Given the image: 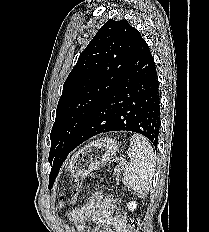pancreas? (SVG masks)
Masks as SVG:
<instances>
[{
	"mask_svg": "<svg viewBox=\"0 0 209 232\" xmlns=\"http://www.w3.org/2000/svg\"><path fill=\"white\" fill-rule=\"evenodd\" d=\"M120 171H121L120 166H118L117 168H115L114 175L116 176V182H117V183H119Z\"/></svg>",
	"mask_w": 209,
	"mask_h": 232,
	"instance_id": "cf45deb5",
	"label": "pancreas"
}]
</instances>
